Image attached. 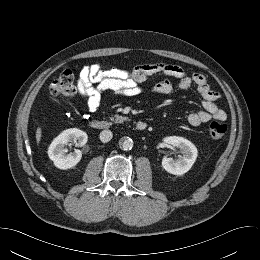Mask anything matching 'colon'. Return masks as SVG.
Masks as SVG:
<instances>
[{"label": "colon", "mask_w": 260, "mask_h": 260, "mask_svg": "<svg viewBox=\"0 0 260 260\" xmlns=\"http://www.w3.org/2000/svg\"><path fill=\"white\" fill-rule=\"evenodd\" d=\"M76 92L75 76L70 70H64L49 85V93L53 99L68 97ZM227 131V126L222 122H213L209 127V135L212 139H221Z\"/></svg>", "instance_id": "obj_1"}]
</instances>
